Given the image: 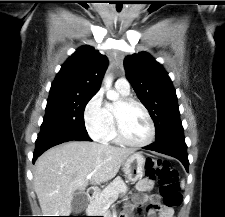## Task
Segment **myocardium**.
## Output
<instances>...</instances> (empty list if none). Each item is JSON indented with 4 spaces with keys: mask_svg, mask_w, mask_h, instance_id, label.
<instances>
[{
    "mask_svg": "<svg viewBox=\"0 0 225 217\" xmlns=\"http://www.w3.org/2000/svg\"><path fill=\"white\" fill-rule=\"evenodd\" d=\"M120 105L122 107H128V106H138L145 114L148 123H149V137L147 138V140H145L144 142L141 143H135V142H131L130 140L127 139V137L125 136L124 132H123V128H122V123H121V115H120V109L117 106H114L113 109V115H114V122H115V129H116V133H117V137L119 139V141L129 147H133V148H142V147H146L148 145H150L154 138H155V125L153 122V119L148 111V109L138 100L130 98V97H123L120 100Z\"/></svg>",
    "mask_w": 225,
    "mask_h": 217,
    "instance_id": "f54148a6",
    "label": "myocardium"
}]
</instances>
